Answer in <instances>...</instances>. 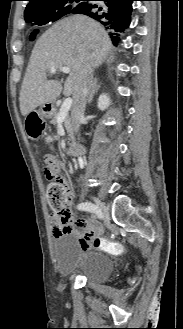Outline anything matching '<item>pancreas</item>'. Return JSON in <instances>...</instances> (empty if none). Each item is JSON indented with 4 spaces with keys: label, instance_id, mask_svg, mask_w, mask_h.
<instances>
[{
    "label": "pancreas",
    "instance_id": "cf45deb5",
    "mask_svg": "<svg viewBox=\"0 0 183 329\" xmlns=\"http://www.w3.org/2000/svg\"><path fill=\"white\" fill-rule=\"evenodd\" d=\"M58 114H59L58 112H55L53 114L52 119H51V124H53V125L57 124ZM63 124H64V127L66 128V131L69 134V137L71 139H73L74 126H73V122H72V119L69 114H67V116L65 117Z\"/></svg>",
    "mask_w": 183,
    "mask_h": 329
}]
</instances>
